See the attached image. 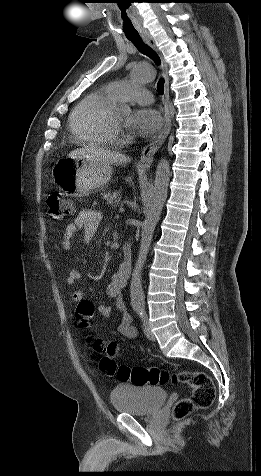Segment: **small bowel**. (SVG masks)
Here are the masks:
<instances>
[{
    "instance_id": "obj_1",
    "label": "small bowel",
    "mask_w": 261,
    "mask_h": 476,
    "mask_svg": "<svg viewBox=\"0 0 261 476\" xmlns=\"http://www.w3.org/2000/svg\"><path fill=\"white\" fill-rule=\"evenodd\" d=\"M102 220V214L96 210H82L78 213L72 223L68 224L63 236L62 247L64 250H70L72 239L82 231L85 241H89L95 235ZM81 278V273L77 269H71L66 277L67 286H74ZM129 274L120 267L113 274L111 281L107 286V294L113 300L112 304H100L97 311L104 317H110L113 309L119 314L117 331L124 337L135 339L138 336L136 328L132 325V317L126 309L123 298V289L128 281ZM74 302L79 303L83 300L84 294L81 291H74L71 295Z\"/></svg>"
}]
</instances>
